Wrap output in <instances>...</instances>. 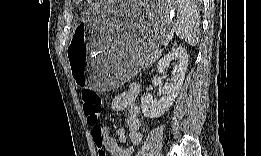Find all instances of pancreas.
Here are the masks:
<instances>
[{"label": "pancreas", "instance_id": "pancreas-1", "mask_svg": "<svg viewBox=\"0 0 261 156\" xmlns=\"http://www.w3.org/2000/svg\"><path fill=\"white\" fill-rule=\"evenodd\" d=\"M160 55H161V51H155L152 54L148 55L146 57V59L144 60L142 66L147 67V66L151 65L159 58Z\"/></svg>", "mask_w": 261, "mask_h": 156}]
</instances>
